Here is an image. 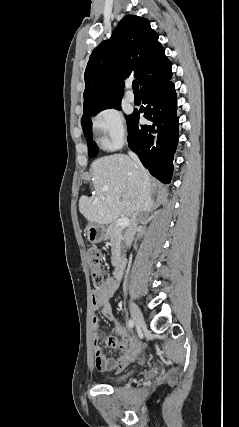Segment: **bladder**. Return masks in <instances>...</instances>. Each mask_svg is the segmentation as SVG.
I'll return each mask as SVG.
<instances>
[{
	"mask_svg": "<svg viewBox=\"0 0 239 427\" xmlns=\"http://www.w3.org/2000/svg\"><path fill=\"white\" fill-rule=\"evenodd\" d=\"M129 376V374L128 375H125V376H120V377H112V378H110V381L111 382H119V381H121V380H124L126 377H128Z\"/></svg>",
	"mask_w": 239,
	"mask_h": 427,
	"instance_id": "1",
	"label": "bladder"
}]
</instances>
